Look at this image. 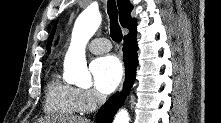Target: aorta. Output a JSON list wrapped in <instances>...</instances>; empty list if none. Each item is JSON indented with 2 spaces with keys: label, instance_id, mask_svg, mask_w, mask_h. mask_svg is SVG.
Here are the masks:
<instances>
[{
  "label": "aorta",
  "instance_id": "762f6f07",
  "mask_svg": "<svg viewBox=\"0 0 221 123\" xmlns=\"http://www.w3.org/2000/svg\"><path fill=\"white\" fill-rule=\"evenodd\" d=\"M101 24L98 10L87 8L76 19L69 50L64 59V72L69 82L79 87H89L92 84L91 75L87 69L85 46ZM114 123H129V114L125 109L115 116Z\"/></svg>",
  "mask_w": 221,
  "mask_h": 123
}]
</instances>
